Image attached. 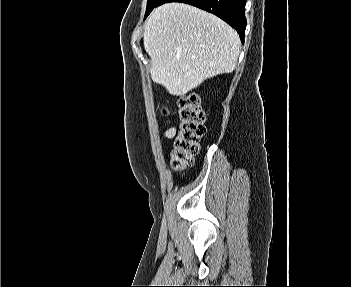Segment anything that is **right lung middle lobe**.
I'll list each match as a JSON object with an SVG mask.
<instances>
[{
	"label": "right lung middle lobe",
	"mask_w": 351,
	"mask_h": 287,
	"mask_svg": "<svg viewBox=\"0 0 351 287\" xmlns=\"http://www.w3.org/2000/svg\"><path fill=\"white\" fill-rule=\"evenodd\" d=\"M160 0H148L145 18L150 14V12L157 6Z\"/></svg>",
	"instance_id": "right-lung-middle-lobe-1"
}]
</instances>
